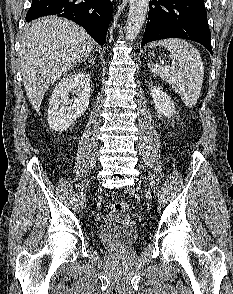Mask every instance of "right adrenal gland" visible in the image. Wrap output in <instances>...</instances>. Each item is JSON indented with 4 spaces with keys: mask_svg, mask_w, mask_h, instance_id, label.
Wrapping results in <instances>:
<instances>
[{
    "mask_svg": "<svg viewBox=\"0 0 233 294\" xmlns=\"http://www.w3.org/2000/svg\"><path fill=\"white\" fill-rule=\"evenodd\" d=\"M89 62L92 63V64L95 63L93 59H89Z\"/></svg>",
    "mask_w": 233,
    "mask_h": 294,
    "instance_id": "right-adrenal-gland-1",
    "label": "right adrenal gland"
}]
</instances>
